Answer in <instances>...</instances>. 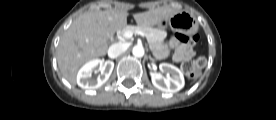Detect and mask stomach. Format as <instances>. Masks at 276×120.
Instances as JSON below:
<instances>
[{
    "label": "stomach",
    "instance_id": "obj_1",
    "mask_svg": "<svg viewBox=\"0 0 276 120\" xmlns=\"http://www.w3.org/2000/svg\"><path fill=\"white\" fill-rule=\"evenodd\" d=\"M167 24L173 31L179 33H191L198 29L196 18L186 11H178L170 18L156 24V26L160 30H164Z\"/></svg>",
    "mask_w": 276,
    "mask_h": 120
}]
</instances>
